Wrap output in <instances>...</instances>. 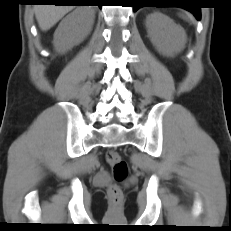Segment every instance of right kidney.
<instances>
[{"label":"right kidney","mask_w":231,"mask_h":231,"mask_svg":"<svg viewBox=\"0 0 231 231\" xmlns=\"http://www.w3.org/2000/svg\"><path fill=\"white\" fill-rule=\"evenodd\" d=\"M94 22V11L90 7H77L59 24L54 33L53 44L58 52L65 53L80 44L90 32Z\"/></svg>","instance_id":"right-kidney-1"}]
</instances>
